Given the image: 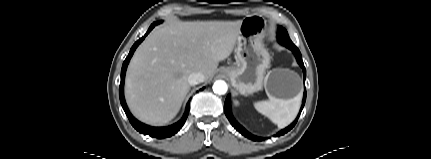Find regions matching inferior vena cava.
I'll return each mask as SVG.
<instances>
[{"label": "inferior vena cava", "mask_w": 431, "mask_h": 159, "mask_svg": "<svg viewBox=\"0 0 431 159\" xmlns=\"http://www.w3.org/2000/svg\"><path fill=\"white\" fill-rule=\"evenodd\" d=\"M205 80V76L201 72H193L188 76V83L190 85H197Z\"/></svg>", "instance_id": "obj_1"}]
</instances>
